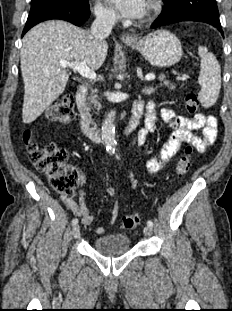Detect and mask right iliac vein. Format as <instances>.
<instances>
[{
	"label": "right iliac vein",
	"instance_id": "63e3f726",
	"mask_svg": "<svg viewBox=\"0 0 232 311\" xmlns=\"http://www.w3.org/2000/svg\"><path fill=\"white\" fill-rule=\"evenodd\" d=\"M79 226L78 225H75L74 227H73V229H72V233H73V236L75 237V238H77L78 236H79Z\"/></svg>",
	"mask_w": 232,
	"mask_h": 311
}]
</instances>
